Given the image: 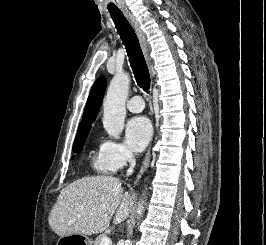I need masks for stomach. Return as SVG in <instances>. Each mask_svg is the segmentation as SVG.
Masks as SVG:
<instances>
[{
    "mask_svg": "<svg viewBox=\"0 0 266 245\" xmlns=\"http://www.w3.org/2000/svg\"><path fill=\"white\" fill-rule=\"evenodd\" d=\"M61 242H79L78 245H92L93 241L86 235L79 233H66V237H61Z\"/></svg>",
    "mask_w": 266,
    "mask_h": 245,
    "instance_id": "stomach-1",
    "label": "stomach"
}]
</instances>
